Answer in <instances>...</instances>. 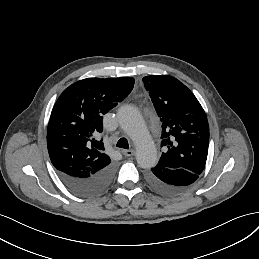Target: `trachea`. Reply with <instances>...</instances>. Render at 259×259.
Masks as SVG:
<instances>
[{
  "label": "trachea",
  "mask_w": 259,
  "mask_h": 259,
  "mask_svg": "<svg viewBox=\"0 0 259 259\" xmlns=\"http://www.w3.org/2000/svg\"><path fill=\"white\" fill-rule=\"evenodd\" d=\"M116 146L119 148L129 149L128 140L126 138H121L118 140Z\"/></svg>",
  "instance_id": "3493384b"
}]
</instances>
